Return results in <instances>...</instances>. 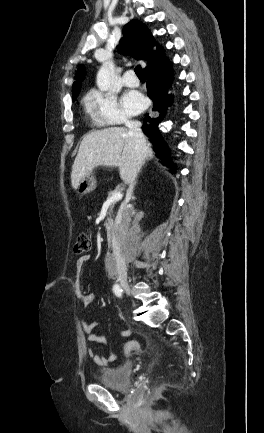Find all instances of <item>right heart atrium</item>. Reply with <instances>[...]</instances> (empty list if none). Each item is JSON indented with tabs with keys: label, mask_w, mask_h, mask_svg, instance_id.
Masks as SVG:
<instances>
[{
	"label": "right heart atrium",
	"mask_w": 264,
	"mask_h": 433,
	"mask_svg": "<svg viewBox=\"0 0 264 433\" xmlns=\"http://www.w3.org/2000/svg\"><path fill=\"white\" fill-rule=\"evenodd\" d=\"M86 105L98 124L116 125L130 121L128 114L122 109L113 94L92 90L86 98Z\"/></svg>",
	"instance_id": "1"
}]
</instances>
